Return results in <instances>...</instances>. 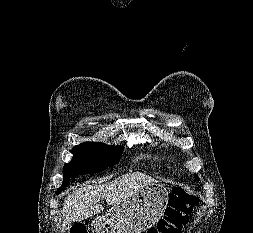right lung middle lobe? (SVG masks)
I'll use <instances>...</instances> for the list:
<instances>
[{
  "label": "right lung middle lobe",
  "mask_w": 253,
  "mask_h": 233,
  "mask_svg": "<svg viewBox=\"0 0 253 233\" xmlns=\"http://www.w3.org/2000/svg\"><path fill=\"white\" fill-rule=\"evenodd\" d=\"M122 151L121 146H107L96 142L74 146L73 159L63 168V183L76 175L101 172L115 165L120 160Z\"/></svg>",
  "instance_id": "dd1d6c3e"
}]
</instances>
